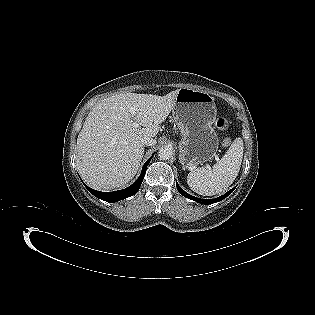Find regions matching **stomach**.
Returning a JSON list of instances; mask_svg holds the SVG:
<instances>
[{
	"mask_svg": "<svg viewBox=\"0 0 315 315\" xmlns=\"http://www.w3.org/2000/svg\"><path fill=\"white\" fill-rule=\"evenodd\" d=\"M172 115L182 137L179 161L183 167L192 170L210 161L219 146L213 126L217 115L214 97L205 91L181 88L175 98Z\"/></svg>",
	"mask_w": 315,
	"mask_h": 315,
	"instance_id": "1",
	"label": "stomach"
}]
</instances>
